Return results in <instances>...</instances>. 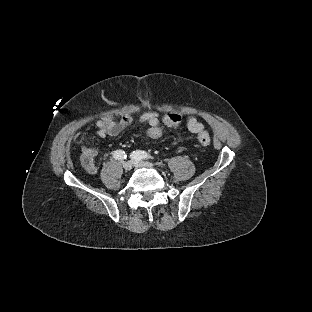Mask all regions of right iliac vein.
<instances>
[{"label":"right iliac vein","mask_w":312,"mask_h":312,"mask_svg":"<svg viewBox=\"0 0 312 312\" xmlns=\"http://www.w3.org/2000/svg\"><path fill=\"white\" fill-rule=\"evenodd\" d=\"M122 166H123V169L126 171H130L132 169V163L129 161L124 162Z\"/></svg>","instance_id":"1"}]
</instances>
